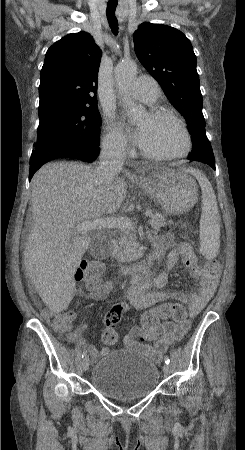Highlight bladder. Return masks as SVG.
I'll return each instance as SVG.
<instances>
[{
    "instance_id": "obj_1",
    "label": "bladder",
    "mask_w": 245,
    "mask_h": 450,
    "mask_svg": "<svg viewBox=\"0 0 245 450\" xmlns=\"http://www.w3.org/2000/svg\"><path fill=\"white\" fill-rule=\"evenodd\" d=\"M160 375L159 367L146 355L121 348L93 363L90 385L105 397L132 400L155 390Z\"/></svg>"
}]
</instances>
